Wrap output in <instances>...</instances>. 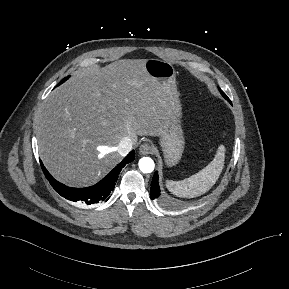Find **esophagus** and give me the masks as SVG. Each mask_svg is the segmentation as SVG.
I'll return each mask as SVG.
<instances>
[{"instance_id": "obj_1", "label": "esophagus", "mask_w": 289, "mask_h": 289, "mask_svg": "<svg viewBox=\"0 0 289 289\" xmlns=\"http://www.w3.org/2000/svg\"><path fill=\"white\" fill-rule=\"evenodd\" d=\"M152 152V147L149 143H143L141 144V146L139 147V153L141 155H148Z\"/></svg>"}]
</instances>
